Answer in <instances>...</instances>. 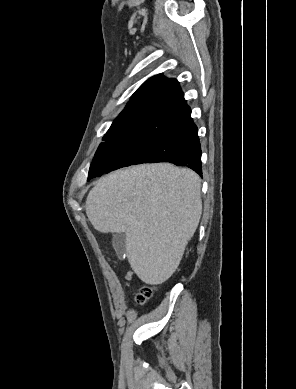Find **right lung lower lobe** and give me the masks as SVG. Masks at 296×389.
<instances>
[{"label":"right lung lower lobe","mask_w":296,"mask_h":389,"mask_svg":"<svg viewBox=\"0 0 296 389\" xmlns=\"http://www.w3.org/2000/svg\"><path fill=\"white\" fill-rule=\"evenodd\" d=\"M201 154L198 129L191 115H188L155 143L142 163L170 162L177 166L189 167L202 176ZM110 171L90 170L88 180Z\"/></svg>","instance_id":"right-lung-lower-lobe-1"}]
</instances>
